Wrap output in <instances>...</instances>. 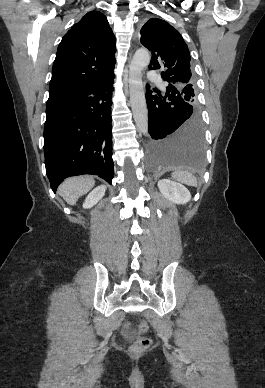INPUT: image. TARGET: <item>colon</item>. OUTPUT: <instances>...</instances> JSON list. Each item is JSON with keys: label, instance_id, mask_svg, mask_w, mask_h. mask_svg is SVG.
Masks as SVG:
<instances>
[{"label": "colon", "instance_id": "colon-1", "mask_svg": "<svg viewBox=\"0 0 265 388\" xmlns=\"http://www.w3.org/2000/svg\"><path fill=\"white\" fill-rule=\"evenodd\" d=\"M149 330V325L147 321L142 320L138 325V334L139 337L135 341L132 349L134 351H142L147 349L151 345V339L149 337L142 336Z\"/></svg>", "mask_w": 265, "mask_h": 388}]
</instances>
